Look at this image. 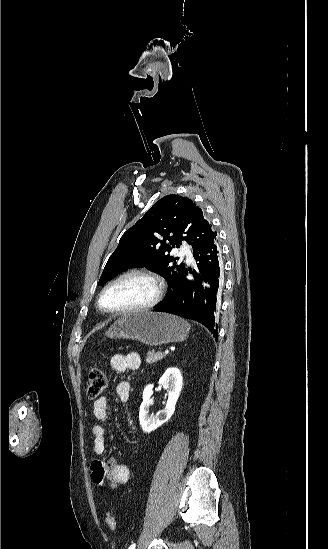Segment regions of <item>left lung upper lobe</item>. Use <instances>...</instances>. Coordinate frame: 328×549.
Wrapping results in <instances>:
<instances>
[{
	"instance_id": "obj_1",
	"label": "left lung upper lobe",
	"mask_w": 328,
	"mask_h": 549,
	"mask_svg": "<svg viewBox=\"0 0 328 549\" xmlns=\"http://www.w3.org/2000/svg\"><path fill=\"white\" fill-rule=\"evenodd\" d=\"M216 235L204 218L203 210L192 200L175 194L167 195L122 235L98 283L104 284L129 268L145 267L167 280L169 293L185 265L178 262V257L167 253L180 247L182 241L192 245L196 252ZM166 240L170 245L165 243Z\"/></svg>"
}]
</instances>
